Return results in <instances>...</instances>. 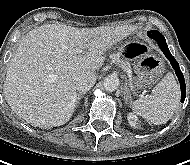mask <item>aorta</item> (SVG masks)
Wrapping results in <instances>:
<instances>
[{
    "mask_svg": "<svg viewBox=\"0 0 190 165\" xmlns=\"http://www.w3.org/2000/svg\"><path fill=\"white\" fill-rule=\"evenodd\" d=\"M120 81L116 75H108L105 77L103 85L107 91H115L119 87Z\"/></svg>",
    "mask_w": 190,
    "mask_h": 165,
    "instance_id": "aorta-1",
    "label": "aorta"
}]
</instances>
